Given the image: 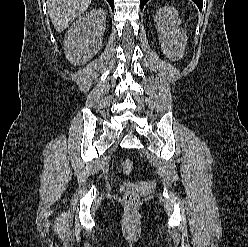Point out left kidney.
<instances>
[{"instance_id":"obj_1","label":"left kidney","mask_w":248,"mask_h":247,"mask_svg":"<svg viewBox=\"0 0 248 247\" xmlns=\"http://www.w3.org/2000/svg\"><path fill=\"white\" fill-rule=\"evenodd\" d=\"M154 22L163 54L172 61L181 59L187 45V33L180 27L178 11L165 6L157 11Z\"/></svg>"}]
</instances>
